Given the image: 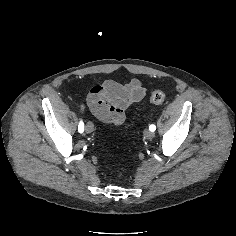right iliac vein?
<instances>
[{
  "mask_svg": "<svg viewBox=\"0 0 236 236\" xmlns=\"http://www.w3.org/2000/svg\"><path fill=\"white\" fill-rule=\"evenodd\" d=\"M94 130V125L91 122H88L86 127H85V131L86 133H91Z\"/></svg>",
  "mask_w": 236,
  "mask_h": 236,
  "instance_id": "63e3f726",
  "label": "right iliac vein"
}]
</instances>
